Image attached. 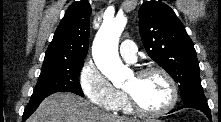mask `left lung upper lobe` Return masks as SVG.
<instances>
[{
    "instance_id": "left-lung-upper-lobe-1",
    "label": "left lung upper lobe",
    "mask_w": 221,
    "mask_h": 122,
    "mask_svg": "<svg viewBox=\"0 0 221 122\" xmlns=\"http://www.w3.org/2000/svg\"><path fill=\"white\" fill-rule=\"evenodd\" d=\"M139 28L148 55L179 84L184 103L206 101L192 40L175 12L159 1L139 9Z\"/></svg>"
}]
</instances>
